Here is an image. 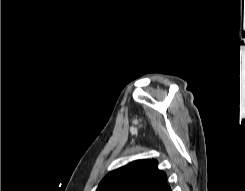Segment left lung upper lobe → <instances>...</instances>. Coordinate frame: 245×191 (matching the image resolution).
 <instances>
[{"mask_svg": "<svg viewBox=\"0 0 245 191\" xmlns=\"http://www.w3.org/2000/svg\"><path fill=\"white\" fill-rule=\"evenodd\" d=\"M168 184L156 160H135L109 172L96 191H161Z\"/></svg>", "mask_w": 245, "mask_h": 191, "instance_id": "1", "label": "left lung upper lobe"}]
</instances>
